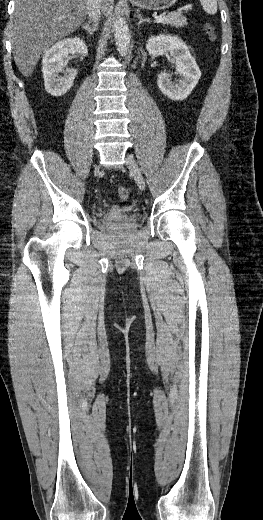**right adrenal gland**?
<instances>
[{
    "instance_id": "2a0ac1e0",
    "label": "right adrenal gland",
    "mask_w": 263,
    "mask_h": 520,
    "mask_svg": "<svg viewBox=\"0 0 263 520\" xmlns=\"http://www.w3.org/2000/svg\"><path fill=\"white\" fill-rule=\"evenodd\" d=\"M82 28L87 32L88 36H92L96 31V26H91L89 23L82 24Z\"/></svg>"
}]
</instances>
